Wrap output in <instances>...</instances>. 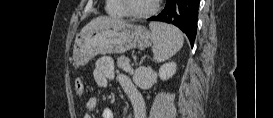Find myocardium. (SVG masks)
Masks as SVG:
<instances>
[{
    "instance_id": "obj_1",
    "label": "myocardium",
    "mask_w": 273,
    "mask_h": 118,
    "mask_svg": "<svg viewBox=\"0 0 273 118\" xmlns=\"http://www.w3.org/2000/svg\"><path fill=\"white\" fill-rule=\"evenodd\" d=\"M126 15L135 19H146L153 16L159 9V0H154L152 7L144 12H135L129 9V0H122Z\"/></svg>"
}]
</instances>
